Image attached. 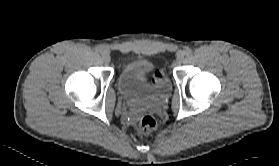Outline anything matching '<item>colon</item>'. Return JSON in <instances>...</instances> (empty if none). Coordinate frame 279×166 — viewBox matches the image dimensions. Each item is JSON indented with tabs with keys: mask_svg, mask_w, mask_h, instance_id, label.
<instances>
[{
	"mask_svg": "<svg viewBox=\"0 0 279 166\" xmlns=\"http://www.w3.org/2000/svg\"><path fill=\"white\" fill-rule=\"evenodd\" d=\"M159 72L155 75L153 81H156L158 78ZM157 126L156 119L151 115H145L143 116L137 125L138 131L142 134H147L151 131H153Z\"/></svg>",
	"mask_w": 279,
	"mask_h": 166,
	"instance_id": "5ec220e1",
	"label": "colon"
}]
</instances>
